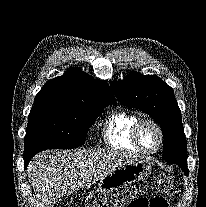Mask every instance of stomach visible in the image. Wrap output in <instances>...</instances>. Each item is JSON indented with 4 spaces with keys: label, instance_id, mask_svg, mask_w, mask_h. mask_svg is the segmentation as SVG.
I'll list each match as a JSON object with an SVG mask.
<instances>
[{
    "label": "stomach",
    "instance_id": "0dacf381",
    "mask_svg": "<svg viewBox=\"0 0 206 207\" xmlns=\"http://www.w3.org/2000/svg\"><path fill=\"white\" fill-rule=\"evenodd\" d=\"M151 173V164L145 158L132 162L110 172L99 180L98 192L109 194L132 183L144 180Z\"/></svg>",
    "mask_w": 206,
    "mask_h": 207
}]
</instances>
